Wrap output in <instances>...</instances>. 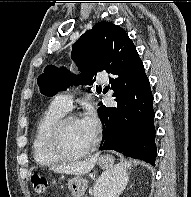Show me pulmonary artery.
<instances>
[{
	"instance_id": "e3ab8cb5",
	"label": "pulmonary artery",
	"mask_w": 191,
	"mask_h": 197,
	"mask_svg": "<svg viewBox=\"0 0 191 197\" xmlns=\"http://www.w3.org/2000/svg\"><path fill=\"white\" fill-rule=\"evenodd\" d=\"M98 83L99 84L106 83L101 73H99L98 75ZM72 101H73V96L70 93L59 94L53 99V103L65 112L71 109Z\"/></svg>"
}]
</instances>
